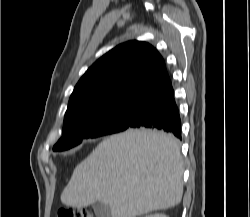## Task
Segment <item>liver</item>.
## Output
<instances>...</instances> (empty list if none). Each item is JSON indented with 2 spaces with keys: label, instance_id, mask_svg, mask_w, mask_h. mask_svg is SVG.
Returning <instances> with one entry per match:
<instances>
[{
  "label": "liver",
  "instance_id": "1",
  "mask_svg": "<svg viewBox=\"0 0 250 217\" xmlns=\"http://www.w3.org/2000/svg\"><path fill=\"white\" fill-rule=\"evenodd\" d=\"M183 172L180 142L172 134L128 129L103 140L76 166L61 202L85 208L98 201L111 217H136L178 205Z\"/></svg>",
  "mask_w": 250,
  "mask_h": 217
}]
</instances>
